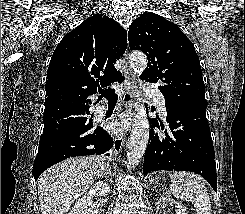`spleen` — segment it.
Returning <instances> with one entry per match:
<instances>
[{"instance_id": "1", "label": "spleen", "mask_w": 245, "mask_h": 214, "mask_svg": "<svg viewBox=\"0 0 245 214\" xmlns=\"http://www.w3.org/2000/svg\"><path fill=\"white\" fill-rule=\"evenodd\" d=\"M170 190L175 198L191 201L197 214H211V201L202 179L195 173L175 171L170 175Z\"/></svg>"}]
</instances>
